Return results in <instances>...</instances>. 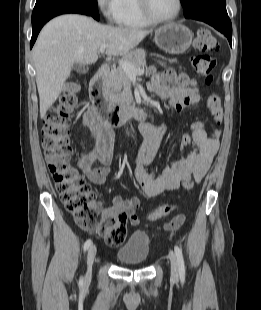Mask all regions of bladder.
<instances>
[{"mask_svg": "<svg viewBox=\"0 0 261 310\" xmlns=\"http://www.w3.org/2000/svg\"><path fill=\"white\" fill-rule=\"evenodd\" d=\"M150 255V239L143 231H134L116 251L118 261L124 264H143Z\"/></svg>", "mask_w": 261, "mask_h": 310, "instance_id": "bladder-1", "label": "bladder"}]
</instances>
